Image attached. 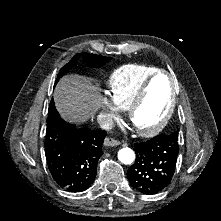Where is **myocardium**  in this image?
<instances>
[{
	"instance_id": "obj_1",
	"label": "myocardium",
	"mask_w": 221,
	"mask_h": 221,
	"mask_svg": "<svg viewBox=\"0 0 221 221\" xmlns=\"http://www.w3.org/2000/svg\"><path fill=\"white\" fill-rule=\"evenodd\" d=\"M160 75L168 76V78L170 79V82H171V100H170L168 110H167L165 116L163 117V119L156 126L151 127V128H139V127L135 126V124H134V116H135L137 110L144 103L152 83ZM174 83H175L174 77L170 72H168L164 69H159V70L155 71L148 78V80L138 89L135 97L133 98L131 103L128 105L127 112L129 115V120H130L131 124L135 127L136 131L141 136H145V137L154 136V135L158 134L159 132H161L165 128L167 123L169 122V120L174 112L175 106H176V92L174 89Z\"/></svg>"
}]
</instances>
